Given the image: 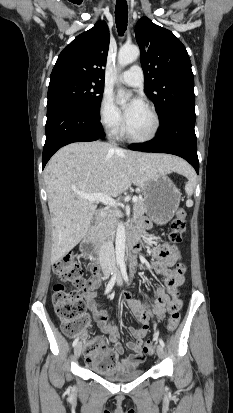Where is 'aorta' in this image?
Listing matches in <instances>:
<instances>
[{"label": "aorta", "mask_w": 233, "mask_h": 413, "mask_svg": "<svg viewBox=\"0 0 233 413\" xmlns=\"http://www.w3.org/2000/svg\"><path fill=\"white\" fill-rule=\"evenodd\" d=\"M140 55V50L137 46H126L120 48L118 52V65L125 67L134 62ZM131 94H127L121 87L118 89V103L125 105ZM125 227L123 223H119L116 231L115 253L117 265L123 266L125 261Z\"/></svg>", "instance_id": "obj_1"}]
</instances>
